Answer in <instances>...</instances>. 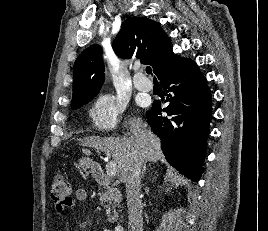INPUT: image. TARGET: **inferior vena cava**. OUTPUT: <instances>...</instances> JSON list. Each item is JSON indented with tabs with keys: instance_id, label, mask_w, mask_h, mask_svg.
Listing matches in <instances>:
<instances>
[{
	"instance_id": "1",
	"label": "inferior vena cava",
	"mask_w": 268,
	"mask_h": 231,
	"mask_svg": "<svg viewBox=\"0 0 268 231\" xmlns=\"http://www.w3.org/2000/svg\"><path fill=\"white\" fill-rule=\"evenodd\" d=\"M143 159L132 152L129 167L124 176L128 207V231H143L142 203L140 200V171Z\"/></svg>"
}]
</instances>
